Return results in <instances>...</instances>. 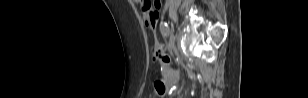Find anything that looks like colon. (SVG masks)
Masks as SVG:
<instances>
[{"instance_id":"1","label":"colon","mask_w":308,"mask_h":98,"mask_svg":"<svg viewBox=\"0 0 308 98\" xmlns=\"http://www.w3.org/2000/svg\"><path fill=\"white\" fill-rule=\"evenodd\" d=\"M146 1V7L144 10L140 11V14L143 15L141 17V20L144 22V26L147 27L148 31H156L157 25L156 20L158 18V9L161 6V2L159 0L153 1V3L149 0ZM164 48L156 44L155 46V56L156 58H160L164 63L169 64L170 63V57L163 52ZM156 88L159 92H163L164 89V83L162 81L156 82Z\"/></svg>"}]
</instances>
